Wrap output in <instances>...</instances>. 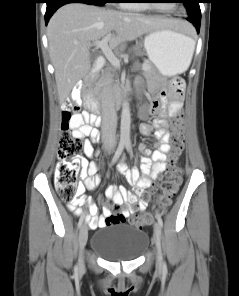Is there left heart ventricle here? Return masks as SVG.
Wrapping results in <instances>:
<instances>
[{
    "label": "left heart ventricle",
    "instance_id": "b2bd125f",
    "mask_svg": "<svg viewBox=\"0 0 239 296\" xmlns=\"http://www.w3.org/2000/svg\"><path fill=\"white\" fill-rule=\"evenodd\" d=\"M155 4H157L161 8L168 9L171 6H173L174 3H169V2H166V1H159L158 3H155Z\"/></svg>",
    "mask_w": 239,
    "mask_h": 296
}]
</instances>
